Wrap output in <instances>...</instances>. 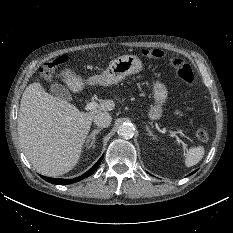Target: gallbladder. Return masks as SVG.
<instances>
[{
  "instance_id": "1",
  "label": "gallbladder",
  "mask_w": 233,
  "mask_h": 233,
  "mask_svg": "<svg viewBox=\"0 0 233 233\" xmlns=\"http://www.w3.org/2000/svg\"><path fill=\"white\" fill-rule=\"evenodd\" d=\"M50 92L60 98V99H63V100H66V101H71L72 100V97H71V94L69 92V90L61 85V84H58V83H54L50 86Z\"/></svg>"
}]
</instances>
